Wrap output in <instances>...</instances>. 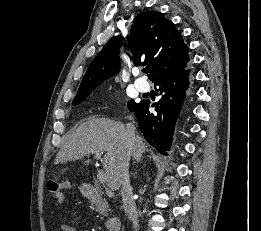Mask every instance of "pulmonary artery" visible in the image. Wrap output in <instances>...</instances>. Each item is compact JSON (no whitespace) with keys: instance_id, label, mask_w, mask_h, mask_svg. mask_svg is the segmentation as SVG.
<instances>
[{"instance_id":"1","label":"pulmonary artery","mask_w":261,"mask_h":231,"mask_svg":"<svg viewBox=\"0 0 261 231\" xmlns=\"http://www.w3.org/2000/svg\"><path fill=\"white\" fill-rule=\"evenodd\" d=\"M135 85L137 87V89L141 92H145L148 90V83L146 82V80L139 78L135 81Z\"/></svg>"}]
</instances>
